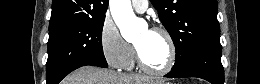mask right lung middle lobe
<instances>
[{"mask_svg": "<svg viewBox=\"0 0 260 84\" xmlns=\"http://www.w3.org/2000/svg\"><path fill=\"white\" fill-rule=\"evenodd\" d=\"M105 16L83 19L49 30L47 84H57L69 72L86 65L108 67L102 48Z\"/></svg>", "mask_w": 260, "mask_h": 84, "instance_id": "obj_1", "label": "right lung middle lobe"}]
</instances>
